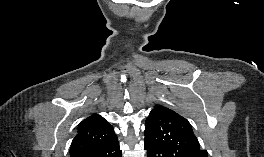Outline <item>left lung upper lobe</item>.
Instances as JSON below:
<instances>
[{
    "label": "left lung upper lobe",
    "mask_w": 264,
    "mask_h": 157,
    "mask_svg": "<svg viewBox=\"0 0 264 157\" xmlns=\"http://www.w3.org/2000/svg\"><path fill=\"white\" fill-rule=\"evenodd\" d=\"M144 134V143L159 150L162 157H208L188 120L167 107L152 109Z\"/></svg>",
    "instance_id": "5c2ea615"
}]
</instances>
